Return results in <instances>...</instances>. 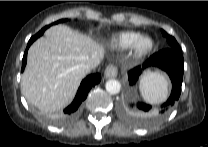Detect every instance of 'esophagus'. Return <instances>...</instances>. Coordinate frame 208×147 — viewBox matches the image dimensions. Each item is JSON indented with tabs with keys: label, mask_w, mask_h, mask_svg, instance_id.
<instances>
[{
	"label": "esophagus",
	"mask_w": 208,
	"mask_h": 147,
	"mask_svg": "<svg viewBox=\"0 0 208 147\" xmlns=\"http://www.w3.org/2000/svg\"><path fill=\"white\" fill-rule=\"evenodd\" d=\"M117 73H118L117 67L114 65H110L106 68L104 72V76L105 78H114L117 76Z\"/></svg>",
	"instance_id": "obj_1"
}]
</instances>
